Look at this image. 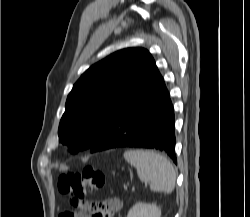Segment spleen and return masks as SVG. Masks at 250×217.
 Returning <instances> with one entry per match:
<instances>
[{
  "mask_svg": "<svg viewBox=\"0 0 250 217\" xmlns=\"http://www.w3.org/2000/svg\"><path fill=\"white\" fill-rule=\"evenodd\" d=\"M125 160L134 166L142 182H149L154 192L170 194L176 182L175 170L163 155L150 150H127Z\"/></svg>",
  "mask_w": 250,
  "mask_h": 217,
  "instance_id": "spleen-1",
  "label": "spleen"
}]
</instances>
